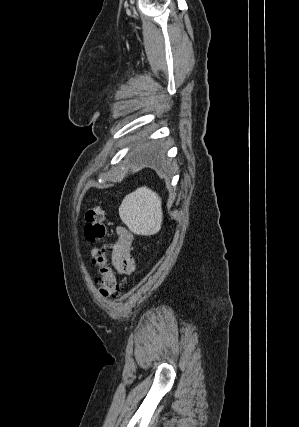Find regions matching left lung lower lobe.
<instances>
[{"label":"left lung lower lobe","mask_w":299,"mask_h":427,"mask_svg":"<svg viewBox=\"0 0 299 427\" xmlns=\"http://www.w3.org/2000/svg\"><path fill=\"white\" fill-rule=\"evenodd\" d=\"M148 161H151V162H154V161H156L157 160V158H155L154 156H148L147 158H146Z\"/></svg>","instance_id":"1"}]
</instances>
